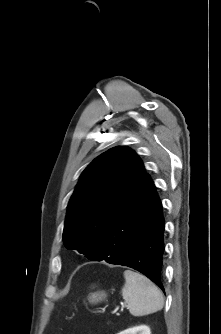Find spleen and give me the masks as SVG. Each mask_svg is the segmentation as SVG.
I'll return each mask as SVG.
<instances>
[{
  "instance_id": "3e777b00",
  "label": "spleen",
  "mask_w": 221,
  "mask_h": 334,
  "mask_svg": "<svg viewBox=\"0 0 221 334\" xmlns=\"http://www.w3.org/2000/svg\"><path fill=\"white\" fill-rule=\"evenodd\" d=\"M124 278L122 296L132 315L144 316L163 308L162 292L147 277L131 270H125Z\"/></svg>"
}]
</instances>
